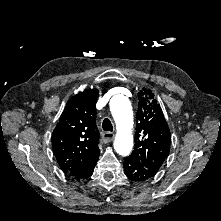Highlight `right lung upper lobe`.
<instances>
[{"label":"right lung upper lobe","instance_id":"right-lung-upper-lobe-1","mask_svg":"<svg viewBox=\"0 0 221 221\" xmlns=\"http://www.w3.org/2000/svg\"><path fill=\"white\" fill-rule=\"evenodd\" d=\"M97 89H85L66 104L52 134L55 157L70 178L84 172L99 156L96 125Z\"/></svg>","mask_w":221,"mask_h":221}]
</instances>
